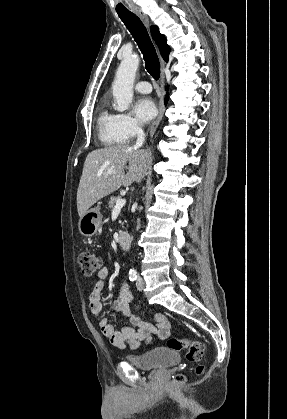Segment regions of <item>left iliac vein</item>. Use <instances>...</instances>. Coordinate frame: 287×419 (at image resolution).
Instances as JSON below:
<instances>
[{
	"label": "left iliac vein",
	"instance_id": "obj_1",
	"mask_svg": "<svg viewBox=\"0 0 287 419\" xmlns=\"http://www.w3.org/2000/svg\"><path fill=\"white\" fill-rule=\"evenodd\" d=\"M136 287H137V289H138L139 291H142V290H143V287H144V280H143V278H142V277H139V278H138V280H137V282H136Z\"/></svg>",
	"mask_w": 287,
	"mask_h": 419
}]
</instances>
